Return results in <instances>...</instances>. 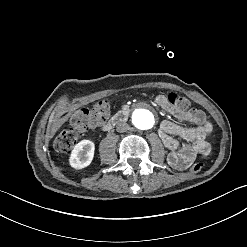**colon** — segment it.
I'll list each match as a JSON object with an SVG mask.
<instances>
[{
	"mask_svg": "<svg viewBox=\"0 0 247 247\" xmlns=\"http://www.w3.org/2000/svg\"><path fill=\"white\" fill-rule=\"evenodd\" d=\"M165 98L179 109L184 110L190 105V100L180 94H175L172 91L166 93ZM107 102H99L93 108H81L76 113L70 116V122L74 127L62 130L55 139V151L58 153H69L76 144L80 132L89 127H94L104 119L107 114ZM203 167L201 162H196L191 165L192 172H199Z\"/></svg>",
	"mask_w": 247,
	"mask_h": 247,
	"instance_id": "5ec220e1",
	"label": "colon"
}]
</instances>
